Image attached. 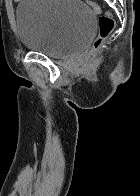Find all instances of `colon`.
Returning a JSON list of instances; mask_svg holds the SVG:
<instances>
[{"label":"colon","instance_id":"1","mask_svg":"<svg viewBox=\"0 0 140 196\" xmlns=\"http://www.w3.org/2000/svg\"><path fill=\"white\" fill-rule=\"evenodd\" d=\"M85 1L90 6V8L97 14V23H98L97 37L94 40L91 49L86 54L83 60V67L87 68L95 62L106 39L112 32L115 22L111 13L103 12L101 6L98 3L88 1V0Z\"/></svg>","mask_w":140,"mask_h":196}]
</instances>
